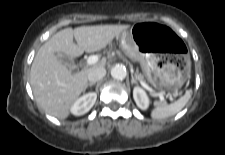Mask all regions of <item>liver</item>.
Segmentation results:
<instances>
[{"label": "liver", "mask_w": 225, "mask_h": 155, "mask_svg": "<svg viewBox=\"0 0 225 155\" xmlns=\"http://www.w3.org/2000/svg\"><path fill=\"white\" fill-rule=\"evenodd\" d=\"M129 25H97L75 29L66 28L45 42L33 60L30 84L37 104L49 115L59 119L69 116L71 107L88 84L87 74L91 68L105 66L106 60L80 72L72 73L56 53L73 59L84 52L92 53L105 48L126 31ZM75 38L76 43L73 39Z\"/></svg>", "instance_id": "6515ba94"}]
</instances>
